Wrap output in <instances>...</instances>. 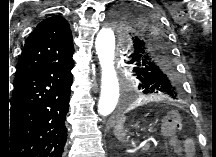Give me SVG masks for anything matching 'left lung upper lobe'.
<instances>
[{"label": "left lung upper lobe", "instance_id": "1", "mask_svg": "<svg viewBox=\"0 0 216 157\" xmlns=\"http://www.w3.org/2000/svg\"><path fill=\"white\" fill-rule=\"evenodd\" d=\"M153 13L128 3L111 12L110 23L120 35L138 90L145 95L179 100L183 87L170 53L169 35Z\"/></svg>", "mask_w": 216, "mask_h": 157}]
</instances>
